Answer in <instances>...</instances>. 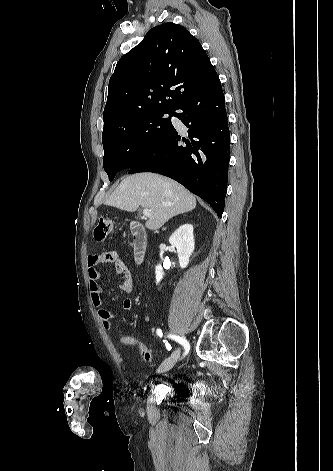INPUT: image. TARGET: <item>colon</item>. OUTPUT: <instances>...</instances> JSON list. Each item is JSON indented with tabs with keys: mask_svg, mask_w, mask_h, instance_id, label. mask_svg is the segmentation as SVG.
I'll return each mask as SVG.
<instances>
[{
	"mask_svg": "<svg viewBox=\"0 0 333 471\" xmlns=\"http://www.w3.org/2000/svg\"><path fill=\"white\" fill-rule=\"evenodd\" d=\"M113 227H114L113 220L106 219V218L100 219L96 223L93 230L94 238L98 241L104 240L112 232ZM119 342L124 347L135 348L139 352L143 360L147 362L151 361L152 359L151 351L143 342H141L136 337L131 336V335H121L119 337Z\"/></svg>",
	"mask_w": 333,
	"mask_h": 471,
	"instance_id": "obj_1",
	"label": "colon"
}]
</instances>
